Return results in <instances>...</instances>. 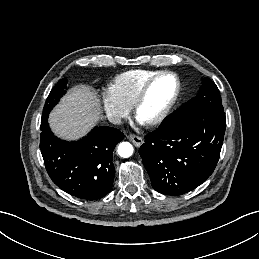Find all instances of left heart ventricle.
I'll return each instance as SVG.
<instances>
[{"instance_id":"1","label":"left heart ventricle","mask_w":259,"mask_h":259,"mask_svg":"<svg viewBox=\"0 0 259 259\" xmlns=\"http://www.w3.org/2000/svg\"><path fill=\"white\" fill-rule=\"evenodd\" d=\"M175 88V80L170 76H165L155 81L139 108V121L147 122L158 116L173 97Z\"/></svg>"}]
</instances>
